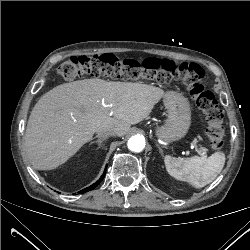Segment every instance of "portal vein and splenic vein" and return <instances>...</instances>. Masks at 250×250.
Here are the masks:
<instances>
[{"mask_svg":"<svg viewBox=\"0 0 250 250\" xmlns=\"http://www.w3.org/2000/svg\"><path fill=\"white\" fill-rule=\"evenodd\" d=\"M191 147H192V148H194V145H193V144H191Z\"/></svg>","mask_w":250,"mask_h":250,"instance_id":"18ae733b","label":"portal vein and splenic vein"}]
</instances>
